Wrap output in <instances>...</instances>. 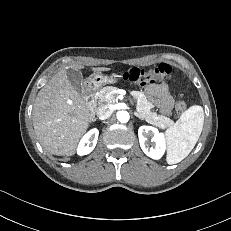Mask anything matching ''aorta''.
Wrapping results in <instances>:
<instances>
[{
  "label": "aorta",
  "mask_w": 231,
  "mask_h": 231,
  "mask_svg": "<svg viewBox=\"0 0 231 231\" xmlns=\"http://www.w3.org/2000/svg\"><path fill=\"white\" fill-rule=\"evenodd\" d=\"M129 118H130V116H129V113H128L127 111H119V112L117 113V119H118V121L121 122V123H126V122H128V121H129Z\"/></svg>",
  "instance_id": "obj_1"
}]
</instances>
